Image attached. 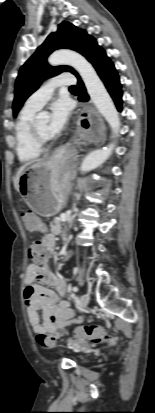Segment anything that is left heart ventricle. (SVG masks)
I'll use <instances>...</instances> for the list:
<instances>
[{
  "label": "left heart ventricle",
  "instance_id": "obj_1",
  "mask_svg": "<svg viewBox=\"0 0 155 413\" xmlns=\"http://www.w3.org/2000/svg\"><path fill=\"white\" fill-rule=\"evenodd\" d=\"M35 126H36V129L38 130V132L40 133L41 136H43L45 138H49L48 134H47V126H48L47 121L36 122Z\"/></svg>",
  "mask_w": 155,
  "mask_h": 413
}]
</instances>
